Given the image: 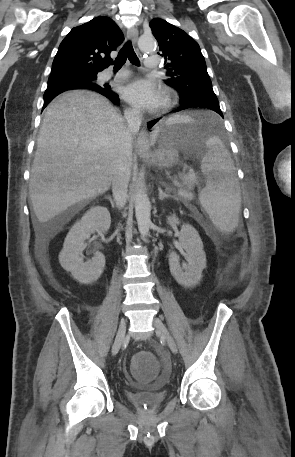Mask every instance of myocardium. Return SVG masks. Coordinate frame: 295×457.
<instances>
[{
    "instance_id": "f54148a6",
    "label": "myocardium",
    "mask_w": 295,
    "mask_h": 457,
    "mask_svg": "<svg viewBox=\"0 0 295 457\" xmlns=\"http://www.w3.org/2000/svg\"><path fill=\"white\" fill-rule=\"evenodd\" d=\"M175 103V96L170 90H165L164 100L161 106V110H167L172 107Z\"/></svg>"
}]
</instances>
